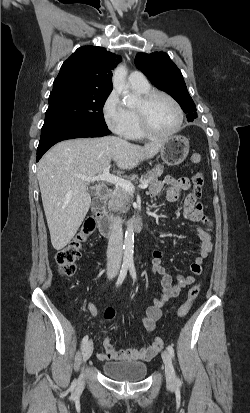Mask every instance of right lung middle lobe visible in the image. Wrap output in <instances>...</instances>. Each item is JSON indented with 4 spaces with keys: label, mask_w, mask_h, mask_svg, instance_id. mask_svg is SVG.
I'll list each match as a JSON object with an SVG mask.
<instances>
[{
    "label": "right lung middle lobe",
    "mask_w": 250,
    "mask_h": 413,
    "mask_svg": "<svg viewBox=\"0 0 250 413\" xmlns=\"http://www.w3.org/2000/svg\"><path fill=\"white\" fill-rule=\"evenodd\" d=\"M111 91H99L67 85L53 88L49 96L41 138L71 126L108 129L103 106Z\"/></svg>",
    "instance_id": "1"
}]
</instances>
